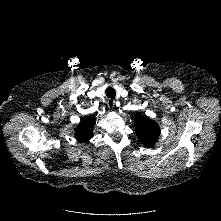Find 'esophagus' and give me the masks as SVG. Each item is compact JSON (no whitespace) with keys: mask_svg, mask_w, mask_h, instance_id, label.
Returning <instances> with one entry per match:
<instances>
[{"mask_svg":"<svg viewBox=\"0 0 221 221\" xmlns=\"http://www.w3.org/2000/svg\"><path fill=\"white\" fill-rule=\"evenodd\" d=\"M107 105H108V107L109 108H114V106H115V100H113V99H108L107 100Z\"/></svg>","mask_w":221,"mask_h":221,"instance_id":"esophagus-1","label":"esophagus"}]
</instances>
